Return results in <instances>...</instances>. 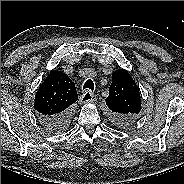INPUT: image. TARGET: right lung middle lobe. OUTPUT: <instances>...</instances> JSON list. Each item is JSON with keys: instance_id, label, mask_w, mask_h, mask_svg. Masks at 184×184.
<instances>
[{"instance_id": "1", "label": "right lung middle lobe", "mask_w": 184, "mask_h": 184, "mask_svg": "<svg viewBox=\"0 0 184 184\" xmlns=\"http://www.w3.org/2000/svg\"><path fill=\"white\" fill-rule=\"evenodd\" d=\"M69 123H70V121L66 125H64L61 129H58L54 132L65 130L69 126Z\"/></svg>"}]
</instances>
